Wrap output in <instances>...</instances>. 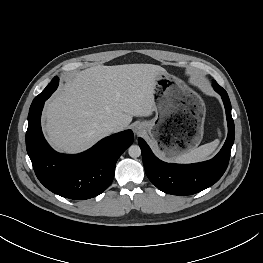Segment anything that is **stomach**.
<instances>
[{
    "label": "stomach",
    "instance_id": "obj_1",
    "mask_svg": "<svg viewBox=\"0 0 263 263\" xmlns=\"http://www.w3.org/2000/svg\"><path fill=\"white\" fill-rule=\"evenodd\" d=\"M156 116L143 123L157 154L167 160L197 148L206 114L202 98L168 72L155 77Z\"/></svg>",
    "mask_w": 263,
    "mask_h": 263
}]
</instances>
